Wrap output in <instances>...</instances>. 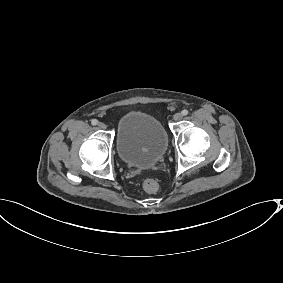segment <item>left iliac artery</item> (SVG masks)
Segmentation results:
<instances>
[{"instance_id":"obj_1","label":"left iliac artery","mask_w":283,"mask_h":283,"mask_svg":"<svg viewBox=\"0 0 283 283\" xmlns=\"http://www.w3.org/2000/svg\"><path fill=\"white\" fill-rule=\"evenodd\" d=\"M189 112H188V110H186V109H184L183 111H182V115H187Z\"/></svg>"}]
</instances>
